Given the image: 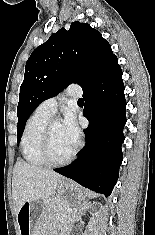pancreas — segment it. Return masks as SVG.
<instances>
[{
    "label": "pancreas",
    "mask_w": 155,
    "mask_h": 235,
    "mask_svg": "<svg viewBox=\"0 0 155 235\" xmlns=\"http://www.w3.org/2000/svg\"><path fill=\"white\" fill-rule=\"evenodd\" d=\"M46 206V213L49 214V216L55 217L57 219H68L70 221L76 220L75 213H70L67 211V206L65 203H63L59 199H50L47 201H44Z\"/></svg>",
    "instance_id": "1"
}]
</instances>
